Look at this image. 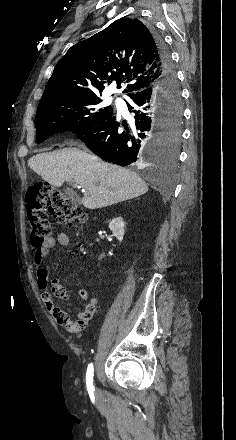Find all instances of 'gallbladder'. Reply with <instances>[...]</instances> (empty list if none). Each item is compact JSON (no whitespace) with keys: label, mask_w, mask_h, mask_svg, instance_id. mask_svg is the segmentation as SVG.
Here are the masks:
<instances>
[{"label":"gallbladder","mask_w":236,"mask_h":440,"mask_svg":"<svg viewBox=\"0 0 236 440\" xmlns=\"http://www.w3.org/2000/svg\"><path fill=\"white\" fill-rule=\"evenodd\" d=\"M64 192H65V194L69 197V198H71L73 201H78L79 202V198H78V196L71 190V189H69V188H66L65 190H64Z\"/></svg>","instance_id":"obj_1"}]
</instances>
